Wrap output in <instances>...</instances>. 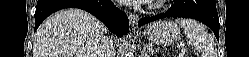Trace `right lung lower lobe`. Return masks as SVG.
I'll return each instance as SVG.
<instances>
[{"label":"right lung lower lobe","instance_id":"98d812e1","mask_svg":"<svg viewBox=\"0 0 249 57\" xmlns=\"http://www.w3.org/2000/svg\"><path fill=\"white\" fill-rule=\"evenodd\" d=\"M83 9L99 20L117 35H124L129 31L127 15L116 8L110 0H38L35 11V31L50 14L64 8Z\"/></svg>","mask_w":249,"mask_h":57}]
</instances>
